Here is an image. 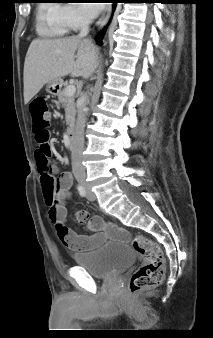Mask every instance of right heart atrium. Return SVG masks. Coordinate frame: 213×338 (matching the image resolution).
I'll return each mask as SVG.
<instances>
[{
	"instance_id": "d8ad5b80",
	"label": "right heart atrium",
	"mask_w": 213,
	"mask_h": 338,
	"mask_svg": "<svg viewBox=\"0 0 213 338\" xmlns=\"http://www.w3.org/2000/svg\"><path fill=\"white\" fill-rule=\"evenodd\" d=\"M62 20L69 29H78L88 24V18L80 9L73 3H68L62 6Z\"/></svg>"
}]
</instances>
